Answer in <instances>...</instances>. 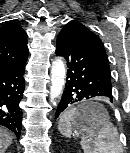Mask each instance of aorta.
<instances>
[{"instance_id": "aorta-1", "label": "aorta", "mask_w": 130, "mask_h": 153, "mask_svg": "<svg viewBox=\"0 0 130 153\" xmlns=\"http://www.w3.org/2000/svg\"><path fill=\"white\" fill-rule=\"evenodd\" d=\"M66 78L65 64L61 58L55 59L51 67L50 101L56 105V99L62 94Z\"/></svg>"}]
</instances>
